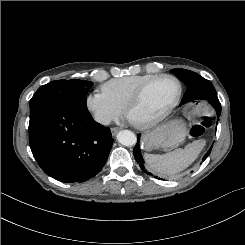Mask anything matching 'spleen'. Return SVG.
I'll return each mask as SVG.
<instances>
[{
  "label": "spleen",
  "mask_w": 245,
  "mask_h": 245,
  "mask_svg": "<svg viewBox=\"0 0 245 245\" xmlns=\"http://www.w3.org/2000/svg\"><path fill=\"white\" fill-rule=\"evenodd\" d=\"M204 145V140H196L188 144L184 149H175L163 155L145 153L144 159L154 172L161 176L174 177L195 161Z\"/></svg>",
  "instance_id": "3e777b00"
}]
</instances>
